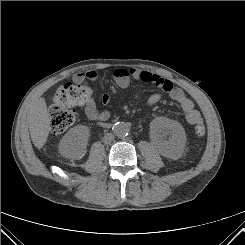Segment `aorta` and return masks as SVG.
<instances>
[{"instance_id": "aorta-1", "label": "aorta", "mask_w": 245, "mask_h": 245, "mask_svg": "<svg viewBox=\"0 0 245 245\" xmlns=\"http://www.w3.org/2000/svg\"><path fill=\"white\" fill-rule=\"evenodd\" d=\"M114 134L119 137L126 136L129 133V126L124 122H118L112 128Z\"/></svg>"}]
</instances>
